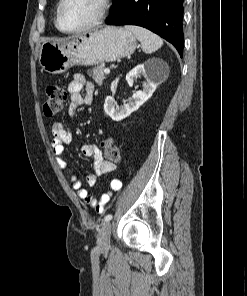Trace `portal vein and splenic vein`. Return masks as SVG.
Instances as JSON below:
<instances>
[{
    "instance_id": "18ae733b",
    "label": "portal vein and splenic vein",
    "mask_w": 247,
    "mask_h": 296,
    "mask_svg": "<svg viewBox=\"0 0 247 296\" xmlns=\"http://www.w3.org/2000/svg\"><path fill=\"white\" fill-rule=\"evenodd\" d=\"M105 74H109L110 73V69L109 68H105L104 69Z\"/></svg>"
}]
</instances>
